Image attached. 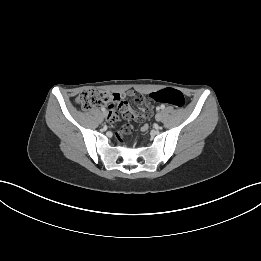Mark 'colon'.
Wrapping results in <instances>:
<instances>
[{
  "instance_id": "1",
  "label": "colon",
  "mask_w": 261,
  "mask_h": 261,
  "mask_svg": "<svg viewBox=\"0 0 261 261\" xmlns=\"http://www.w3.org/2000/svg\"><path fill=\"white\" fill-rule=\"evenodd\" d=\"M150 96L155 99V102H164L176 108H182L185 105L184 95L179 90L173 88L160 90L152 93ZM76 101L84 110H90L99 105H109L111 121H115L121 113L126 112L127 101L118 93L88 88L79 93ZM131 131L132 126L130 124H126L121 128L122 135H127Z\"/></svg>"
}]
</instances>
